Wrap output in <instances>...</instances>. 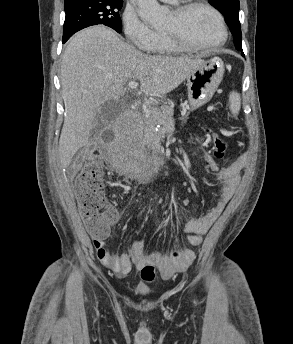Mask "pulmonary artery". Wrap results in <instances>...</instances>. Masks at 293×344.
<instances>
[{
	"mask_svg": "<svg viewBox=\"0 0 293 344\" xmlns=\"http://www.w3.org/2000/svg\"><path fill=\"white\" fill-rule=\"evenodd\" d=\"M163 2H168V3H175L177 0H161Z\"/></svg>",
	"mask_w": 293,
	"mask_h": 344,
	"instance_id": "obj_1",
	"label": "pulmonary artery"
}]
</instances>
